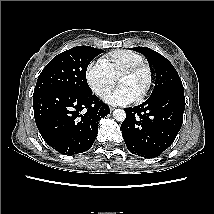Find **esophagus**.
Here are the masks:
<instances>
[{
  "mask_svg": "<svg viewBox=\"0 0 214 214\" xmlns=\"http://www.w3.org/2000/svg\"><path fill=\"white\" fill-rule=\"evenodd\" d=\"M110 111L112 112L114 110V107H109Z\"/></svg>",
  "mask_w": 214,
  "mask_h": 214,
  "instance_id": "1",
  "label": "esophagus"
}]
</instances>
